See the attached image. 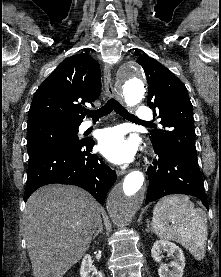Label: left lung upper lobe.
<instances>
[{
	"label": "left lung upper lobe",
	"instance_id": "left-lung-upper-lobe-1",
	"mask_svg": "<svg viewBox=\"0 0 221 277\" xmlns=\"http://www.w3.org/2000/svg\"><path fill=\"white\" fill-rule=\"evenodd\" d=\"M148 88L147 106L161 119L164 129L151 132L154 149H170L197 162L192 104L185 85L155 59L141 56Z\"/></svg>",
	"mask_w": 221,
	"mask_h": 277
}]
</instances>
